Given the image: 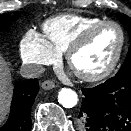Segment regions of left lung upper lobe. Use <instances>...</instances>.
<instances>
[{
  "label": "left lung upper lobe",
  "mask_w": 131,
  "mask_h": 131,
  "mask_svg": "<svg viewBox=\"0 0 131 131\" xmlns=\"http://www.w3.org/2000/svg\"><path fill=\"white\" fill-rule=\"evenodd\" d=\"M118 17L120 21L122 22V24L127 29L129 37H130V41H131V19L128 16L124 14H120V13H118ZM126 71H131V45L129 47V51L125 59V62L122 65V67L120 68V70L117 72V74H120Z\"/></svg>",
  "instance_id": "5c2ea615"
}]
</instances>
